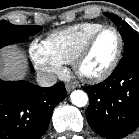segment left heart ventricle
<instances>
[{
	"label": "left heart ventricle",
	"mask_w": 139,
	"mask_h": 139,
	"mask_svg": "<svg viewBox=\"0 0 139 139\" xmlns=\"http://www.w3.org/2000/svg\"><path fill=\"white\" fill-rule=\"evenodd\" d=\"M117 46L116 34L112 30L104 31L96 39L90 52L82 62V72L89 75L102 72L113 60Z\"/></svg>",
	"instance_id": "left-heart-ventricle-1"
}]
</instances>
